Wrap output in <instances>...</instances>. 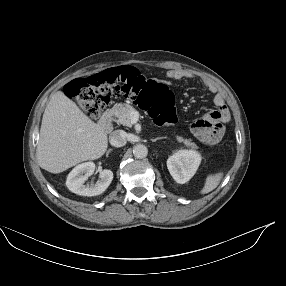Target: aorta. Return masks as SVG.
<instances>
[{
	"mask_svg": "<svg viewBox=\"0 0 286 286\" xmlns=\"http://www.w3.org/2000/svg\"><path fill=\"white\" fill-rule=\"evenodd\" d=\"M148 154V149L145 145L143 144H137L133 148V155L138 158L142 159L145 158Z\"/></svg>",
	"mask_w": 286,
	"mask_h": 286,
	"instance_id": "aorta-1",
	"label": "aorta"
}]
</instances>
